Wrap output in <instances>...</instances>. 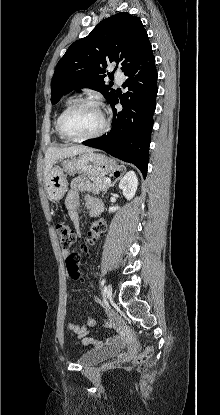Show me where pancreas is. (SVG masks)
Returning a JSON list of instances; mask_svg holds the SVG:
<instances>
[{
  "instance_id": "pancreas-1",
  "label": "pancreas",
  "mask_w": 220,
  "mask_h": 415,
  "mask_svg": "<svg viewBox=\"0 0 220 415\" xmlns=\"http://www.w3.org/2000/svg\"><path fill=\"white\" fill-rule=\"evenodd\" d=\"M91 180L92 189L95 191H107L110 187V183H106L104 176H91L89 177Z\"/></svg>"
}]
</instances>
